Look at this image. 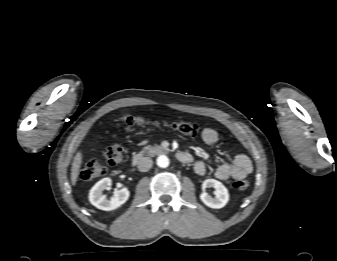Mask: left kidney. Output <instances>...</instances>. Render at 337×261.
Wrapping results in <instances>:
<instances>
[{
  "label": "left kidney",
  "mask_w": 337,
  "mask_h": 261,
  "mask_svg": "<svg viewBox=\"0 0 337 261\" xmlns=\"http://www.w3.org/2000/svg\"><path fill=\"white\" fill-rule=\"evenodd\" d=\"M207 187H213L215 189V197H211L205 192ZM202 189L203 192L200 194V199L206 206L210 208H222L229 201V193L227 188L218 180L206 179L202 184Z\"/></svg>",
  "instance_id": "left-kidney-1"
}]
</instances>
